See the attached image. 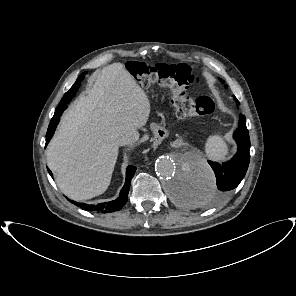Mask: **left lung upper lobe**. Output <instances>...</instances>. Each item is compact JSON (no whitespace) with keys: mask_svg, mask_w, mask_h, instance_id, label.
Instances as JSON below:
<instances>
[{"mask_svg":"<svg viewBox=\"0 0 296 296\" xmlns=\"http://www.w3.org/2000/svg\"><path fill=\"white\" fill-rule=\"evenodd\" d=\"M219 80L224 83V81L222 79H219Z\"/></svg>","mask_w":296,"mask_h":296,"instance_id":"left-lung-upper-lobe-1","label":"left lung upper lobe"}]
</instances>
